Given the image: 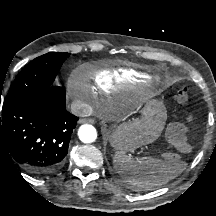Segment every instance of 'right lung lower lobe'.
<instances>
[{
	"label": "right lung lower lobe",
	"mask_w": 216,
	"mask_h": 216,
	"mask_svg": "<svg viewBox=\"0 0 216 216\" xmlns=\"http://www.w3.org/2000/svg\"><path fill=\"white\" fill-rule=\"evenodd\" d=\"M77 121L66 110L62 88L50 86L32 93L2 108L0 157L20 164L33 176H51L64 164Z\"/></svg>",
	"instance_id": "98d812e1"
}]
</instances>
